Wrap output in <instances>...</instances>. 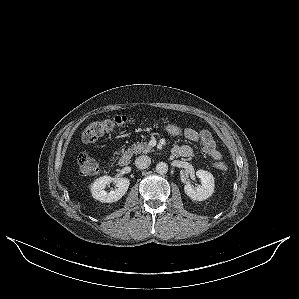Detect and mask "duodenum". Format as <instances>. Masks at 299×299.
<instances>
[{
    "label": "duodenum",
    "mask_w": 299,
    "mask_h": 299,
    "mask_svg": "<svg viewBox=\"0 0 299 299\" xmlns=\"http://www.w3.org/2000/svg\"><path fill=\"white\" fill-rule=\"evenodd\" d=\"M130 161H131V155L129 152H125L123 153L119 159H118V165L120 167H126L130 164Z\"/></svg>",
    "instance_id": "duodenum-1"
}]
</instances>
